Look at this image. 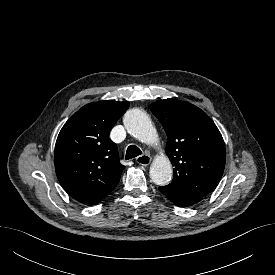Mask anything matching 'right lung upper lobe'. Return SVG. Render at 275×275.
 Instances as JSON below:
<instances>
[{
    "instance_id": "right-lung-upper-lobe-1",
    "label": "right lung upper lobe",
    "mask_w": 275,
    "mask_h": 275,
    "mask_svg": "<svg viewBox=\"0 0 275 275\" xmlns=\"http://www.w3.org/2000/svg\"><path fill=\"white\" fill-rule=\"evenodd\" d=\"M128 102L89 103L72 115L55 145V169L65 191L81 203L106 197L118 184L125 166L119 162L109 132L126 112Z\"/></svg>"
}]
</instances>
